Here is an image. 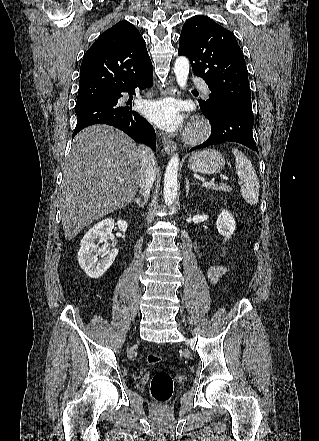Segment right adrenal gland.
I'll use <instances>...</instances> for the list:
<instances>
[{
  "label": "right adrenal gland",
  "mask_w": 319,
  "mask_h": 441,
  "mask_svg": "<svg viewBox=\"0 0 319 441\" xmlns=\"http://www.w3.org/2000/svg\"><path fill=\"white\" fill-rule=\"evenodd\" d=\"M132 202H134L138 207H142L146 203V198L143 200L141 198H135Z\"/></svg>",
  "instance_id": "2a0ac1e0"
}]
</instances>
